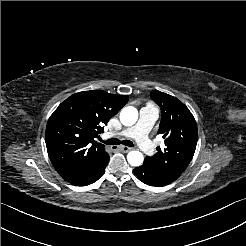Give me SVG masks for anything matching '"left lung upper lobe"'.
I'll return each mask as SVG.
<instances>
[{
	"label": "left lung upper lobe",
	"instance_id": "left-lung-upper-lobe-1",
	"mask_svg": "<svg viewBox=\"0 0 246 246\" xmlns=\"http://www.w3.org/2000/svg\"><path fill=\"white\" fill-rule=\"evenodd\" d=\"M151 98L160 106L162 119L158 133L165 139L164 149L150 157L155 168L177 179L191 161L197 144V125L189 109L177 98L154 90Z\"/></svg>",
	"mask_w": 246,
	"mask_h": 246
}]
</instances>
